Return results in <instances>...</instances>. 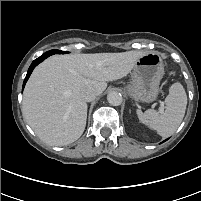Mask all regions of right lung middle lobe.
I'll use <instances>...</instances> for the list:
<instances>
[{
	"instance_id": "dd1d6c3e",
	"label": "right lung middle lobe",
	"mask_w": 201,
	"mask_h": 201,
	"mask_svg": "<svg viewBox=\"0 0 201 201\" xmlns=\"http://www.w3.org/2000/svg\"><path fill=\"white\" fill-rule=\"evenodd\" d=\"M49 53H50V55H52V54H64V53H66L65 51H59V50H50V51H48Z\"/></svg>"
}]
</instances>
